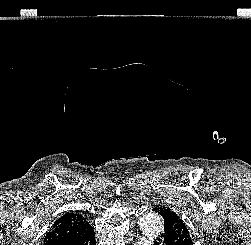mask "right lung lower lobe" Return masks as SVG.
Here are the masks:
<instances>
[{
	"label": "right lung lower lobe",
	"instance_id": "98d812e1",
	"mask_svg": "<svg viewBox=\"0 0 251 245\" xmlns=\"http://www.w3.org/2000/svg\"><path fill=\"white\" fill-rule=\"evenodd\" d=\"M44 245H96L94 230L91 229L82 236L47 241Z\"/></svg>",
	"mask_w": 251,
	"mask_h": 245
}]
</instances>
